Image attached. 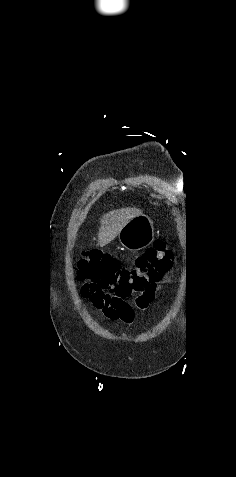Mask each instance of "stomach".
Instances as JSON below:
<instances>
[{"instance_id":"0dacf381","label":"stomach","mask_w":236,"mask_h":477,"mask_svg":"<svg viewBox=\"0 0 236 477\" xmlns=\"http://www.w3.org/2000/svg\"><path fill=\"white\" fill-rule=\"evenodd\" d=\"M118 238L125 249L129 251L142 250L154 240L153 222L145 215L136 216L123 227Z\"/></svg>"}]
</instances>
